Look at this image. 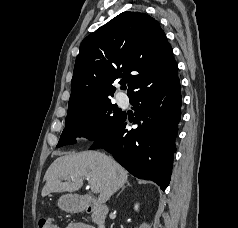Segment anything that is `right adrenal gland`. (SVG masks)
Returning a JSON list of instances; mask_svg holds the SVG:
<instances>
[{"instance_id":"right-adrenal-gland-1","label":"right adrenal gland","mask_w":238,"mask_h":228,"mask_svg":"<svg viewBox=\"0 0 238 228\" xmlns=\"http://www.w3.org/2000/svg\"><path fill=\"white\" fill-rule=\"evenodd\" d=\"M126 186H131V184L129 182H126ZM126 186H123L121 191L117 194V196L123 192V190L125 189Z\"/></svg>"}]
</instances>
